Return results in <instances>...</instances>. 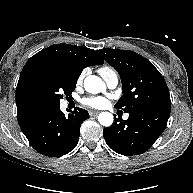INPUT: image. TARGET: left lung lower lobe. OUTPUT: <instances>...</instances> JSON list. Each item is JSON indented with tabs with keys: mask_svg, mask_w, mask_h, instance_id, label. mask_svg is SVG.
<instances>
[{
	"mask_svg": "<svg viewBox=\"0 0 193 193\" xmlns=\"http://www.w3.org/2000/svg\"><path fill=\"white\" fill-rule=\"evenodd\" d=\"M171 105L129 113V118L103 129L107 145L122 155H139L146 152L165 130Z\"/></svg>",
	"mask_w": 193,
	"mask_h": 193,
	"instance_id": "left-lung-lower-lobe-1",
	"label": "left lung lower lobe"
}]
</instances>
